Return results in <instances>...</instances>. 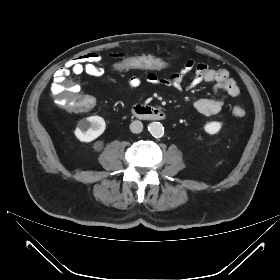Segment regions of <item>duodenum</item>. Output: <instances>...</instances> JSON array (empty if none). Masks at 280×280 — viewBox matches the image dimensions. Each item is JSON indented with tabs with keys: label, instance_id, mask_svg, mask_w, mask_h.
<instances>
[{
	"label": "duodenum",
	"instance_id": "obj_1",
	"mask_svg": "<svg viewBox=\"0 0 280 280\" xmlns=\"http://www.w3.org/2000/svg\"><path fill=\"white\" fill-rule=\"evenodd\" d=\"M132 112L136 117L144 120L158 121L165 118V111L163 109L145 104L135 105Z\"/></svg>",
	"mask_w": 280,
	"mask_h": 280
}]
</instances>
